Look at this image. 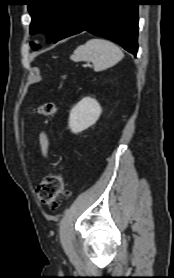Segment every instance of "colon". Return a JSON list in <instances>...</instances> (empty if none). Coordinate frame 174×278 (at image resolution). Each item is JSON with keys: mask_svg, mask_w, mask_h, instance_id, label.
I'll list each match as a JSON object with an SVG mask.
<instances>
[{"mask_svg": "<svg viewBox=\"0 0 174 278\" xmlns=\"http://www.w3.org/2000/svg\"><path fill=\"white\" fill-rule=\"evenodd\" d=\"M57 105L54 102H45L35 109V112L45 117L55 115ZM39 200L50 209H56L59 200L66 198L69 191L61 174H50L46 176L36 189Z\"/></svg>", "mask_w": 174, "mask_h": 278, "instance_id": "1", "label": "colon"}]
</instances>
